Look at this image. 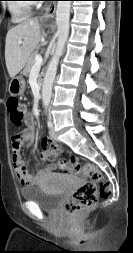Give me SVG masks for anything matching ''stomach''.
I'll return each mask as SVG.
<instances>
[{
    "instance_id": "0dacf381",
    "label": "stomach",
    "mask_w": 133,
    "mask_h": 253,
    "mask_svg": "<svg viewBox=\"0 0 133 253\" xmlns=\"http://www.w3.org/2000/svg\"><path fill=\"white\" fill-rule=\"evenodd\" d=\"M25 90V80L22 76L12 78L9 84V92L12 95H21Z\"/></svg>"
}]
</instances>
